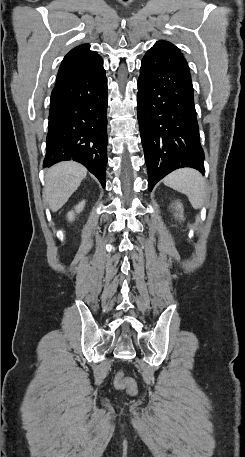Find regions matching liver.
<instances>
[{"mask_svg": "<svg viewBox=\"0 0 245 457\" xmlns=\"http://www.w3.org/2000/svg\"><path fill=\"white\" fill-rule=\"evenodd\" d=\"M86 174L87 168L79 162H74V160L58 162L47 170L46 188L43 196L52 212H56L67 202L69 196L73 194Z\"/></svg>", "mask_w": 245, "mask_h": 457, "instance_id": "6515ba94", "label": "liver"}]
</instances>
